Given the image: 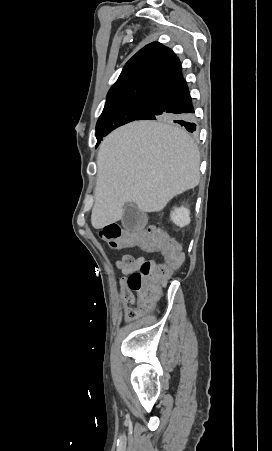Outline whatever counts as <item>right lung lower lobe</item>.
I'll return each mask as SVG.
<instances>
[{
    "label": "right lung lower lobe",
    "instance_id": "1",
    "mask_svg": "<svg viewBox=\"0 0 272 451\" xmlns=\"http://www.w3.org/2000/svg\"><path fill=\"white\" fill-rule=\"evenodd\" d=\"M194 113L188 86L180 72L151 96L147 110L136 120L173 121L193 132Z\"/></svg>",
    "mask_w": 272,
    "mask_h": 451
}]
</instances>
